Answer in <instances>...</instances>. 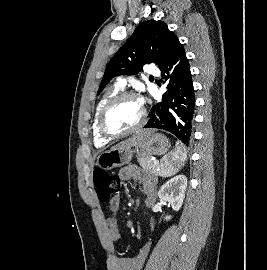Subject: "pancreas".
<instances>
[{
  "instance_id": "pancreas-1",
  "label": "pancreas",
  "mask_w": 267,
  "mask_h": 270,
  "mask_svg": "<svg viewBox=\"0 0 267 270\" xmlns=\"http://www.w3.org/2000/svg\"><path fill=\"white\" fill-rule=\"evenodd\" d=\"M139 165L142 167L143 171L153 175H159V162L154 161L151 157L138 158Z\"/></svg>"
}]
</instances>
